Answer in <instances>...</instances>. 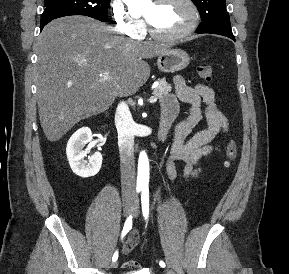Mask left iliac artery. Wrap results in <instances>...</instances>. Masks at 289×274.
Wrapping results in <instances>:
<instances>
[{"mask_svg": "<svg viewBox=\"0 0 289 274\" xmlns=\"http://www.w3.org/2000/svg\"><path fill=\"white\" fill-rule=\"evenodd\" d=\"M141 204H142V213L145 220H148L149 216V190L147 187L142 188V195H141ZM159 265L164 268L165 263L161 260Z\"/></svg>", "mask_w": 289, "mask_h": 274, "instance_id": "left-iliac-artery-1", "label": "left iliac artery"}]
</instances>
